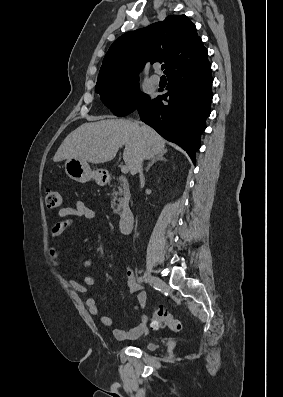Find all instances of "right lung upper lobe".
Masks as SVG:
<instances>
[{
  "instance_id": "right-lung-upper-lobe-1",
  "label": "right lung upper lobe",
  "mask_w": 283,
  "mask_h": 397,
  "mask_svg": "<svg viewBox=\"0 0 283 397\" xmlns=\"http://www.w3.org/2000/svg\"><path fill=\"white\" fill-rule=\"evenodd\" d=\"M207 57V49L195 25L185 15H170L164 21L120 36L104 57L98 81L138 77L147 61L164 60L165 73Z\"/></svg>"
}]
</instances>
